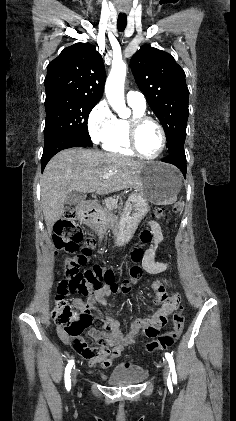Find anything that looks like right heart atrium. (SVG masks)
I'll return each mask as SVG.
<instances>
[{"mask_svg":"<svg viewBox=\"0 0 236 421\" xmlns=\"http://www.w3.org/2000/svg\"><path fill=\"white\" fill-rule=\"evenodd\" d=\"M112 114L106 101H100L90 111L87 119V128L92 142L96 145L103 142L109 133L113 122Z\"/></svg>","mask_w":236,"mask_h":421,"instance_id":"1","label":"right heart atrium"}]
</instances>
